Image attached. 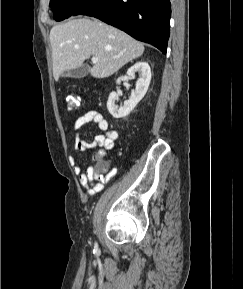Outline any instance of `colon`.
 Wrapping results in <instances>:
<instances>
[{
    "instance_id": "1",
    "label": "colon",
    "mask_w": 243,
    "mask_h": 289,
    "mask_svg": "<svg viewBox=\"0 0 243 289\" xmlns=\"http://www.w3.org/2000/svg\"><path fill=\"white\" fill-rule=\"evenodd\" d=\"M81 103V97L77 94L71 93L66 97V104L69 109H73L79 106ZM108 163L104 162L102 159L97 161V167L100 171H104L108 168Z\"/></svg>"
}]
</instances>
